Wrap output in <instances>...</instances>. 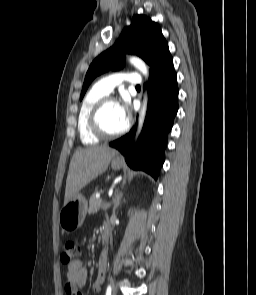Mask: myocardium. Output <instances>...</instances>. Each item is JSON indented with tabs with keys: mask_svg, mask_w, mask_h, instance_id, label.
<instances>
[{
	"mask_svg": "<svg viewBox=\"0 0 256 295\" xmlns=\"http://www.w3.org/2000/svg\"><path fill=\"white\" fill-rule=\"evenodd\" d=\"M109 102H116V101L113 97H110V96H105L101 98L99 101H97L96 104L91 109L89 118H88V125H89L90 131L100 139H113V138L119 137L122 134H124L129 127V123L127 121L124 127L117 132L110 133L104 129L101 123V114L105 106Z\"/></svg>",
	"mask_w": 256,
	"mask_h": 295,
	"instance_id": "obj_1",
	"label": "myocardium"
}]
</instances>
